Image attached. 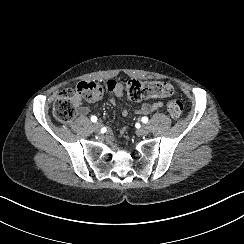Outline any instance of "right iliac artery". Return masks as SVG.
<instances>
[{
  "label": "right iliac artery",
  "instance_id": "82829eb1",
  "mask_svg": "<svg viewBox=\"0 0 244 244\" xmlns=\"http://www.w3.org/2000/svg\"><path fill=\"white\" fill-rule=\"evenodd\" d=\"M91 121H92V122H96V121H97V117H96V116H92V117H91Z\"/></svg>",
  "mask_w": 244,
  "mask_h": 244
}]
</instances>
